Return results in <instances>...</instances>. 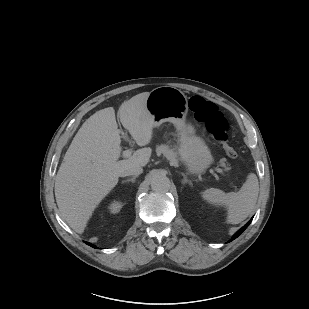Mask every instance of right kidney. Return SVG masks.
<instances>
[{
	"mask_svg": "<svg viewBox=\"0 0 309 309\" xmlns=\"http://www.w3.org/2000/svg\"><path fill=\"white\" fill-rule=\"evenodd\" d=\"M122 205L118 201H114L112 204L109 206V210L111 213H118L121 209Z\"/></svg>",
	"mask_w": 309,
	"mask_h": 309,
	"instance_id": "1",
	"label": "right kidney"
}]
</instances>
